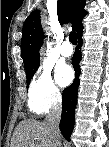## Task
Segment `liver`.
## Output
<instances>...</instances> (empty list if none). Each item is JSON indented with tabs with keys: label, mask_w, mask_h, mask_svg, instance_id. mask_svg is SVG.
I'll list each match as a JSON object with an SVG mask.
<instances>
[{
	"label": "liver",
	"mask_w": 109,
	"mask_h": 147,
	"mask_svg": "<svg viewBox=\"0 0 109 147\" xmlns=\"http://www.w3.org/2000/svg\"><path fill=\"white\" fill-rule=\"evenodd\" d=\"M52 145L46 123L26 119L16 126L10 147H53Z\"/></svg>",
	"instance_id": "liver-1"
}]
</instances>
